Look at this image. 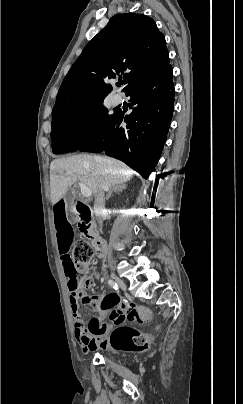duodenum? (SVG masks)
<instances>
[{
  "mask_svg": "<svg viewBox=\"0 0 243 404\" xmlns=\"http://www.w3.org/2000/svg\"><path fill=\"white\" fill-rule=\"evenodd\" d=\"M75 208L79 222V230L82 234L93 240L97 257L104 258L105 244L104 241L93 230L90 208L81 201L76 203Z\"/></svg>",
  "mask_w": 243,
  "mask_h": 404,
  "instance_id": "obj_1",
  "label": "duodenum"
}]
</instances>
